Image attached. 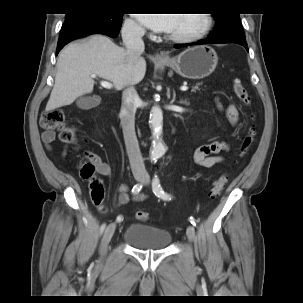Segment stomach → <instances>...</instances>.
Listing matches in <instances>:
<instances>
[{
  "label": "stomach",
  "mask_w": 303,
  "mask_h": 303,
  "mask_svg": "<svg viewBox=\"0 0 303 303\" xmlns=\"http://www.w3.org/2000/svg\"><path fill=\"white\" fill-rule=\"evenodd\" d=\"M218 56L214 49L206 45L188 48L178 56L160 62L188 79H203L217 66Z\"/></svg>",
  "instance_id": "1"
}]
</instances>
